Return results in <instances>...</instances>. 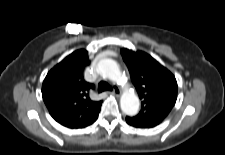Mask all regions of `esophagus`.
<instances>
[{
	"mask_svg": "<svg viewBox=\"0 0 225 155\" xmlns=\"http://www.w3.org/2000/svg\"><path fill=\"white\" fill-rule=\"evenodd\" d=\"M110 94L119 96V95L121 94V90H120L118 87H115V88L110 92Z\"/></svg>",
	"mask_w": 225,
	"mask_h": 155,
	"instance_id": "obj_1",
	"label": "esophagus"
}]
</instances>
